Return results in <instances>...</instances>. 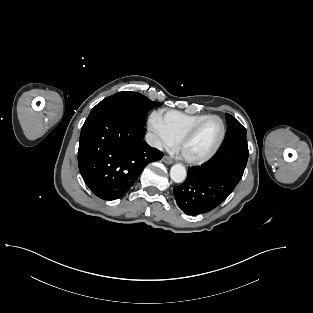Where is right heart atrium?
I'll use <instances>...</instances> for the list:
<instances>
[{
	"label": "right heart atrium",
	"instance_id": "obj_1",
	"mask_svg": "<svg viewBox=\"0 0 313 313\" xmlns=\"http://www.w3.org/2000/svg\"><path fill=\"white\" fill-rule=\"evenodd\" d=\"M149 130L152 133V144L158 149H170L175 142L166 134L158 120L157 114H152L149 119Z\"/></svg>",
	"mask_w": 313,
	"mask_h": 313
}]
</instances>
